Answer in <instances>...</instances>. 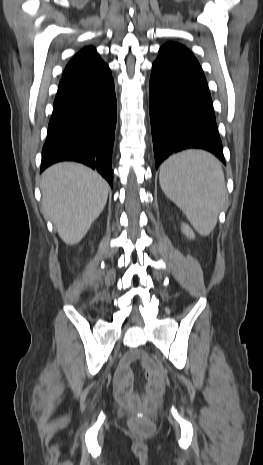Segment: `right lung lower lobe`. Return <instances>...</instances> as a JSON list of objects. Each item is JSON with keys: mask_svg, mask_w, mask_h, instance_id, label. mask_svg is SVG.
<instances>
[{"mask_svg": "<svg viewBox=\"0 0 263 465\" xmlns=\"http://www.w3.org/2000/svg\"><path fill=\"white\" fill-rule=\"evenodd\" d=\"M116 112L114 80L107 65L63 77L53 104L40 172L56 162L77 161L96 169L112 187Z\"/></svg>", "mask_w": 263, "mask_h": 465, "instance_id": "obj_1", "label": "right lung lower lobe"}]
</instances>
